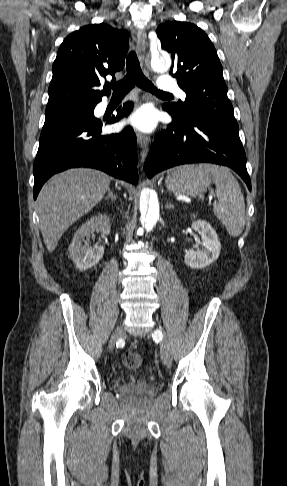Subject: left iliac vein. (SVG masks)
Segmentation results:
<instances>
[{"mask_svg":"<svg viewBox=\"0 0 287 486\" xmlns=\"http://www.w3.org/2000/svg\"><path fill=\"white\" fill-rule=\"evenodd\" d=\"M154 336L161 340V357L163 364L166 367H170L172 362V352L169 340L164 336L161 329L155 330Z\"/></svg>","mask_w":287,"mask_h":486,"instance_id":"left-iliac-vein-1","label":"left iliac vein"}]
</instances>
